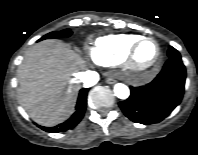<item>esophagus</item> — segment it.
<instances>
[{
  "instance_id": "esophagus-1",
  "label": "esophagus",
  "mask_w": 198,
  "mask_h": 155,
  "mask_svg": "<svg viewBox=\"0 0 198 155\" xmlns=\"http://www.w3.org/2000/svg\"><path fill=\"white\" fill-rule=\"evenodd\" d=\"M106 82L108 84H114V83H116V79L114 78V76L112 74H107Z\"/></svg>"
}]
</instances>
